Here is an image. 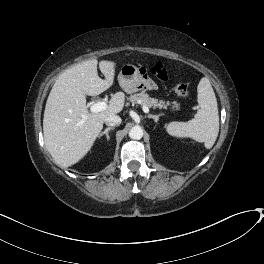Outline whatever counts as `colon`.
Returning a JSON list of instances; mask_svg holds the SVG:
<instances>
[{
	"label": "colon",
	"instance_id": "obj_1",
	"mask_svg": "<svg viewBox=\"0 0 264 264\" xmlns=\"http://www.w3.org/2000/svg\"><path fill=\"white\" fill-rule=\"evenodd\" d=\"M152 74L160 79V80H167L168 79V70L166 66L160 62L154 64L151 69ZM175 93L182 98H186L189 96V86L186 83H177L174 86Z\"/></svg>",
	"mask_w": 264,
	"mask_h": 264
}]
</instances>
